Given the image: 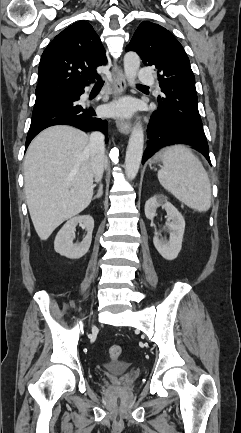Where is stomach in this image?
Returning a JSON list of instances; mask_svg holds the SVG:
<instances>
[{
  "label": "stomach",
  "instance_id": "0dacf381",
  "mask_svg": "<svg viewBox=\"0 0 241 433\" xmlns=\"http://www.w3.org/2000/svg\"><path fill=\"white\" fill-rule=\"evenodd\" d=\"M162 155H163V151L162 152H160V153H158L155 157H154V159H153V163H158V162H160L161 160H162Z\"/></svg>",
  "mask_w": 241,
  "mask_h": 433
}]
</instances>
